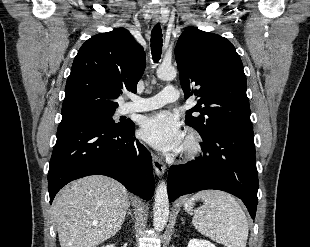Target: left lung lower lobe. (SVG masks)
I'll return each mask as SVG.
<instances>
[{"instance_id": "1", "label": "left lung lower lobe", "mask_w": 310, "mask_h": 247, "mask_svg": "<svg viewBox=\"0 0 310 247\" xmlns=\"http://www.w3.org/2000/svg\"><path fill=\"white\" fill-rule=\"evenodd\" d=\"M201 148L204 154L195 161L170 167L169 201L204 189L223 190L239 197L254 218L258 174L252 127L223 128L203 139Z\"/></svg>"}]
</instances>
